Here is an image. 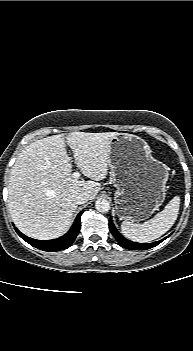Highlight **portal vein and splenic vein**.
<instances>
[{
	"label": "portal vein and splenic vein",
	"mask_w": 193,
	"mask_h": 351,
	"mask_svg": "<svg viewBox=\"0 0 193 351\" xmlns=\"http://www.w3.org/2000/svg\"><path fill=\"white\" fill-rule=\"evenodd\" d=\"M72 177H73L74 179H78V178L80 177V173H79L78 171H76V172H74V173L72 174Z\"/></svg>",
	"instance_id": "obj_1"
}]
</instances>
